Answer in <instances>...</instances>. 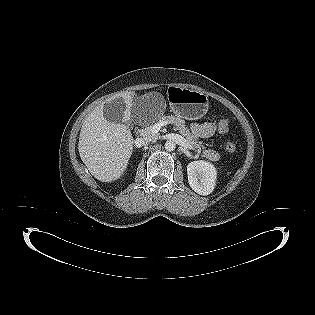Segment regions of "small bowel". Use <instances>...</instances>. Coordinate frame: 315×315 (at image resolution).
<instances>
[{
	"label": "small bowel",
	"instance_id": "1",
	"mask_svg": "<svg viewBox=\"0 0 315 315\" xmlns=\"http://www.w3.org/2000/svg\"><path fill=\"white\" fill-rule=\"evenodd\" d=\"M217 124L214 122L194 123L191 126L192 132L202 138H209L216 132Z\"/></svg>",
	"mask_w": 315,
	"mask_h": 315
}]
</instances>
